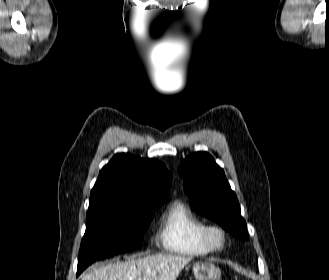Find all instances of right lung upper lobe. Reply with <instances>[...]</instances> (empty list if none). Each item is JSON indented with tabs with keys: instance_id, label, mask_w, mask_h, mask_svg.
Instances as JSON below:
<instances>
[{
	"instance_id": "1",
	"label": "right lung upper lobe",
	"mask_w": 329,
	"mask_h": 280,
	"mask_svg": "<svg viewBox=\"0 0 329 280\" xmlns=\"http://www.w3.org/2000/svg\"><path fill=\"white\" fill-rule=\"evenodd\" d=\"M172 174L156 159L129 153L116 154L100 171L91 191L87 214L110 201L144 202L164 199L170 191Z\"/></svg>"
}]
</instances>
